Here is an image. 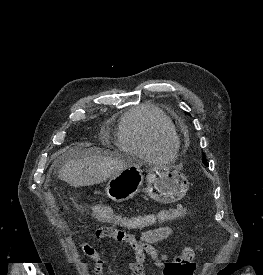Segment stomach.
<instances>
[{
  "label": "stomach",
  "instance_id": "stomach-1",
  "mask_svg": "<svg viewBox=\"0 0 263 275\" xmlns=\"http://www.w3.org/2000/svg\"><path fill=\"white\" fill-rule=\"evenodd\" d=\"M141 165L134 163L110 177L106 193L111 200L123 202L133 198L138 193L144 179ZM146 180V193L153 200L164 204L182 199L189 187L185 175L166 166L150 168Z\"/></svg>",
  "mask_w": 263,
  "mask_h": 275
}]
</instances>
